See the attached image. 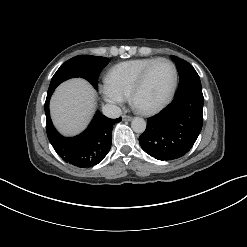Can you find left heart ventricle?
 Instances as JSON below:
<instances>
[{
  "label": "left heart ventricle",
  "instance_id": "1",
  "mask_svg": "<svg viewBox=\"0 0 247 247\" xmlns=\"http://www.w3.org/2000/svg\"><path fill=\"white\" fill-rule=\"evenodd\" d=\"M173 82V69L167 62L153 66L136 95V103L142 108L158 105L167 96Z\"/></svg>",
  "mask_w": 247,
  "mask_h": 247
}]
</instances>
